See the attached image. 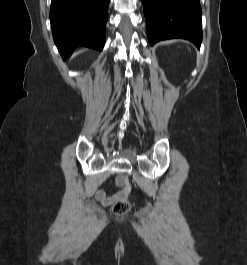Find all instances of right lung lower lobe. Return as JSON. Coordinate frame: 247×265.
<instances>
[{"label":"right lung lower lobe","mask_w":247,"mask_h":265,"mask_svg":"<svg viewBox=\"0 0 247 265\" xmlns=\"http://www.w3.org/2000/svg\"><path fill=\"white\" fill-rule=\"evenodd\" d=\"M109 0H52L50 22L55 44L65 60L78 46L101 51Z\"/></svg>","instance_id":"right-lung-lower-lobe-1"}]
</instances>
